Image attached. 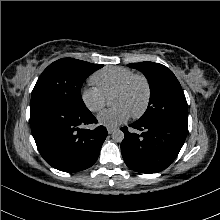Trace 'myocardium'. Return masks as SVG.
I'll return each mask as SVG.
<instances>
[{
	"label": "myocardium",
	"instance_id": "obj_1",
	"mask_svg": "<svg viewBox=\"0 0 220 220\" xmlns=\"http://www.w3.org/2000/svg\"><path fill=\"white\" fill-rule=\"evenodd\" d=\"M138 80L144 84L145 100H144L142 107L138 111L132 114L133 118H139L142 115H144V113L147 111L149 107L150 100H151V84L148 78L143 74H134L131 77H129L123 84H121L112 94L113 96L116 94H122L126 92L133 85V83Z\"/></svg>",
	"mask_w": 220,
	"mask_h": 220
}]
</instances>
